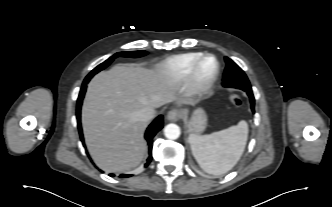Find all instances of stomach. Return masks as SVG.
Wrapping results in <instances>:
<instances>
[{"instance_id":"stomach-1","label":"stomach","mask_w":332,"mask_h":207,"mask_svg":"<svg viewBox=\"0 0 332 207\" xmlns=\"http://www.w3.org/2000/svg\"><path fill=\"white\" fill-rule=\"evenodd\" d=\"M207 124V117L203 109H196L189 119H186L188 132L191 134H200L204 131Z\"/></svg>"}]
</instances>
